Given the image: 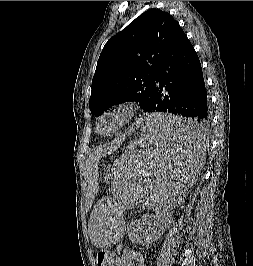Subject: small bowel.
Here are the masks:
<instances>
[{"mask_svg": "<svg viewBox=\"0 0 253 266\" xmlns=\"http://www.w3.org/2000/svg\"><path fill=\"white\" fill-rule=\"evenodd\" d=\"M121 257L118 262V266H134L133 261L137 260L140 266H149L148 263L144 262L142 255L129 248H120Z\"/></svg>", "mask_w": 253, "mask_h": 266, "instance_id": "c3829d8e", "label": "small bowel"}]
</instances>
